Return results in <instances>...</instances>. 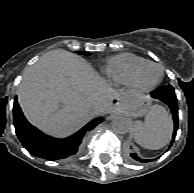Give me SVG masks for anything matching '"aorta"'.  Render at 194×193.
I'll list each match as a JSON object with an SVG mask.
<instances>
[{"label": "aorta", "mask_w": 194, "mask_h": 193, "mask_svg": "<svg viewBox=\"0 0 194 193\" xmlns=\"http://www.w3.org/2000/svg\"><path fill=\"white\" fill-rule=\"evenodd\" d=\"M112 130L117 134H126L129 131V122L125 118H115L111 123Z\"/></svg>", "instance_id": "1"}]
</instances>
